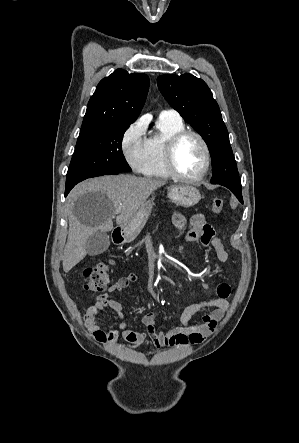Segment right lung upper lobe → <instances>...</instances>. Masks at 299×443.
<instances>
[{
	"mask_svg": "<svg viewBox=\"0 0 299 443\" xmlns=\"http://www.w3.org/2000/svg\"><path fill=\"white\" fill-rule=\"evenodd\" d=\"M148 88L147 75L115 70L99 82L89 100L80 132L110 124L133 123L144 105Z\"/></svg>",
	"mask_w": 299,
	"mask_h": 443,
	"instance_id": "cb5924a9",
	"label": "right lung upper lobe"
}]
</instances>
